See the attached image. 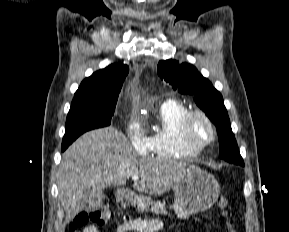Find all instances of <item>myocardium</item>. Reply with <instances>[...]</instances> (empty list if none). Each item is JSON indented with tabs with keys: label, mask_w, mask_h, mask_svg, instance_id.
Segmentation results:
<instances>
[{
	"label": "myocardium",
	"mask_w": 289,
	"mask_h": 232,
	"mask_svg": "<svg viewBox=\"0 0 289 232\" xmlns=\"http://www.w3.org/2000/svg\"><path fill=\"white\" fill-rule=\"evenodd\" d=\"M195 118H200L205 121L210 129V139L204 143H198L194 141L191 136V124ZM180 136L186 145L193 149L201 151L210 146L215 141L217 133L214 123L204 112L200 110H188V112L184 114L180 122Z\"/></svg>",
	"instance_id": "1"
}]
</instances>
